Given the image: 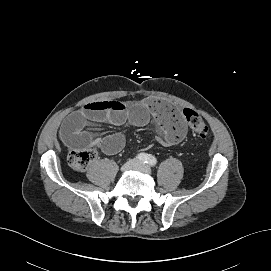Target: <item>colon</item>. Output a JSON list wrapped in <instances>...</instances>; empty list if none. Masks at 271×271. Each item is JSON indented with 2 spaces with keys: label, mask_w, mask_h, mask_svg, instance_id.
Returning <instances> with one entry per match:
<instances>
[{
  "label": "colon",
  "mask_w": 271,
  "mask_h": 271,
  "mask_svg": "<svg viewBox=\"0 0 271 271\" xmlns=\"http://www.w3.org/2000/svg\"><path fill=\"white\" fill-rule=\"evenodd\" d=\"M182 114L192 131L200 137H206L208 135L209 129L197 112L191 109H184ZM94 158L95 152L91 149H74L68 155V162L73 169L83 171Z\"/></svg>",
  "instance_id": "colon-1"
}]
</instances>
